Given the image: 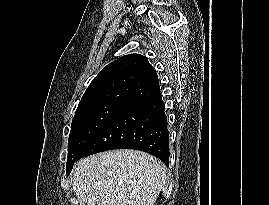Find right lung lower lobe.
<instances>
[{
  "label": "right lung lower lobe",
  "mask_w": 269,
  "mask_h": 205,
  "mask_svg": "<svg viewBox=\"0 0 269 205\" xmlns=\"http://www.w3.org/2000/svg\"><path fill=\"white\" fill-rule=\"evenodd\" d=\"M164 109L161 94L127 107L92 137L78 153L77 160L126 148L150 153L169 166V132Z\"/></svg>",
  "instance_id": "1"
}]
</instances>
